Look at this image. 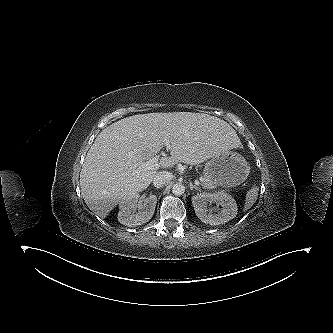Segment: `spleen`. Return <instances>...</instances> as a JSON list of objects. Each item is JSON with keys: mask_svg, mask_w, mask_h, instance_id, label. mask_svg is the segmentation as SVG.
<instances>
[{"mask_svg": "<svg viewBox=\"0 0 333 333\" xmlns=\"http://www.w3.org/2000/svg\"><path fill=\"white\" fill-rule=\"evenodd\" d=\"M258 190V187L254 186L247 192L244 204V211H247L254 205L258 197Z\"/></svg>", "mask_w": 333, "mask_h": 333, "instance_id": "3e777b00", "label": "spleen"}]
</instances>
